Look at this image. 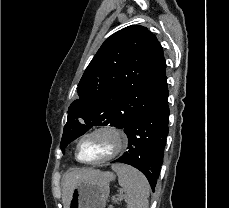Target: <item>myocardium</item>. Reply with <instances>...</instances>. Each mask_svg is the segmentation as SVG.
<instances>
[{"instance_id": "obj_1", "label": "myocardium", "mask_w": 229, "mask_h": 208, "mask_svg": "<svg viewBox=\"0 0 229 208\" xmlns=\"http://www.w3.org/2000/svg\"><path fill=\"white\" fill-rule=\"evenodd\" d=\"M87 136L88 138H85ZM82 141H84V143H110L111 147H118V149L106 157L100 158L98 160L86 161L81 159L79 155V147ZM127 145L128 136L124 129L112 124H102L93 127L78 138L75 145V157L80 163L83 164L93 165L104 163L111 161L122 154Z\"/></svg>"}]
</instances>
